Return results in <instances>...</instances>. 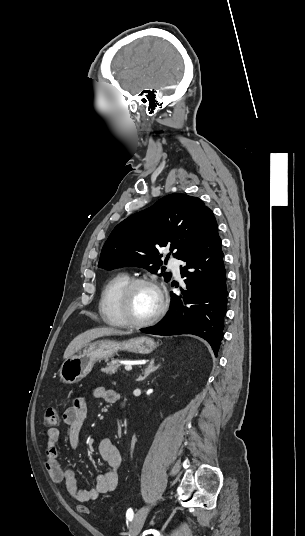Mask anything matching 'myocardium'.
I'll use <instances>...</instances> for the list:
<instances>
[{
    "instance_id": "1",
    "label": "myocardium",
    "mask_w": 305,
    "mask_h": 536,
    "mask_svg": "<svg viewBox=\"0 0 305 536\" xmlns=\"http://www.w3.org/2000/svg\"><path fill=\"white\" fill-rule=\"evenodd\" d=\"M143 284L151 285L157 290L159 299H160V305H159L158 310L152 315L143 319H134L131 317L130 312H129L130 296L133 290L137 286L143 285ZM118 306H119L120 315L124 320L125 326L143 327V326L149 325L157 321L165 314L167 306H168V299L162 287L160 286V284L157 281H155L153 278L137 277V278L130 279L129 282L123 287L119 295Z\"/></svg>"
}]
</instances>
